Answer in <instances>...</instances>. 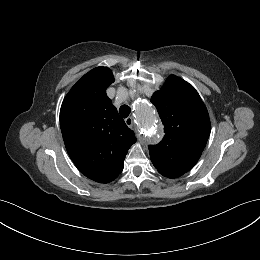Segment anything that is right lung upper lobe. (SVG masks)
Segmentation results:
<instances>
[{"mask_svg": "<svg viewBox=\"0 0 260 260\" xmlns=\"http://www.w3.org/2000/svg\"><path fill=\"white\" fill-rule=\"evenodd\" d=\"M113 82L109 68L92 69L71 88L60 110V127L71 160L82 174L99 183L118 177L128 149L136 142L106 94Z\"/></svg>", "mask_w": 260, "mask_h": 260, "instance_id": "cb5924a9", "label": "right lung upper lobe"}]
</instances>
